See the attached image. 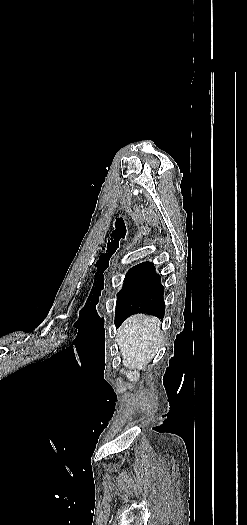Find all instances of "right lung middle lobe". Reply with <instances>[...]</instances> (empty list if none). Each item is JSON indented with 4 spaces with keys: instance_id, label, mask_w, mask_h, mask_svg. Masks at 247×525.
<instances>
[{
    "instance_id": "right-lung-middle-lobe-1",
    "label": "right lung middle lobe",
    "mask_w": 247,
    "mask_h": 525,
    "mask_svg": "<svg viewBox=\"0 0 247 525\" xmlns=\"http://www.w3.org/2000/svg\"><path fill=\"white\" fill-rule=\"evenodd\" d=\"M151 265L139 270L129 271L124 279L123 289L117 294L115 321L121 314L122 307L126 299L130 296L139 282L146 276Z\"/></svg>"
}]
</instances>
